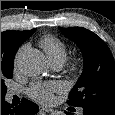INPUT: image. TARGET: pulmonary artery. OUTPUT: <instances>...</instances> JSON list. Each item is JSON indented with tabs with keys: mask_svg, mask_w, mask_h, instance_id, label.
<instances>
[{
	"mask_svg": "<svg viewBox=\"0 0 115 115\" xmlns=\"http://www.w3.org/2000/svg\"><path fill=\"white\" fill-rule=\"evenodd\" d=\"M53 65V67L55 68V69H60L61 68V66H62V64L61 63H53L52 64ZM14 94V92H11V94L10 95H13Z\"/></svg>",
	"mask_w": 115,
	"mask_h": 115,
	"instance_id": "1",
	"label": "pulmonary artery"
}]
</instances>
